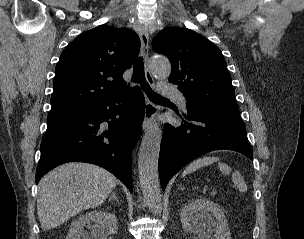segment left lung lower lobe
Here are the masks:
<instances>
[{"label":"left lung lower lobe","mask_w":304,"mask_h":239,"mask_svg":"<svg viewBox=\"0 0 304 239\" xmlns=\"http://www.w3.org/2000/svg\"><path fill=\"white\" fill-rule=\"evenodd\" d=\"M180 126L166 124L159 154V176L162 190L169 180L195 158L214 150H233L253 160L241 117L218 113H188L179 116Z\"/></svg>","instance_id":"left-lung-lower-lobe-1"}]
</instances>
